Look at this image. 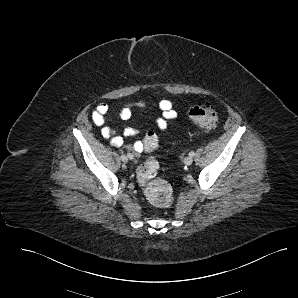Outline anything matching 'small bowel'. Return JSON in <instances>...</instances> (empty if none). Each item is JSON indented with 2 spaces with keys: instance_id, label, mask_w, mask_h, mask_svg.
I'll list each match as a JSON object with an SVG mask.
<instances>
[{
  "instance_id": "c3829d8e",
  "label": "small bowel",
  "mask_w": 298,
  "mask_h": 298,
  "mask_svg": "<svg viewBox=\"0 0 298 298\" xmlns=\"http://www.w3.org/2000/svg\"><path fill=\"white\" fill-rule=\"evenodd\" d=\"M155 105L146 100L136 102H128L124 104L119 110V116L122 120H129L134 110H149ZM157 108L161 111V117L156 120V126L164 131L168 128V121L177 118V111L170 100L163 99L156 104ZM109 110L106 103H100L92 112V120L95 125L101 127V134L104 138L110 139V143L115 147H120L124 143V137H131L138 134V130L133 127H126L122 135L116 134V131L109 126L105 125V116ZM135 153L143 151V143L139 140L135 141L128 147Z\"/></svg>"
}]
</instances>
